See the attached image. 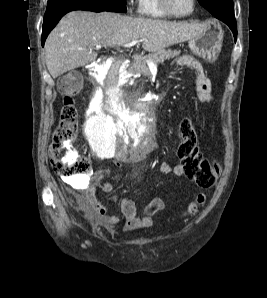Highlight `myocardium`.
<instances>
[{
  "mask_svg": "<svg viewBox=\"0 0 267 298\" xmlns=\"http://www.w3.org/2000/svg\"><path fill=\"white\" fill-rule=\"evenodd\" d=\"M158 3H159V6L160 8L166 13L168 14L169 16L171 17H175V18H185V17H189L191 16L194 11H195V8H196V0H192V7H191V10L186 13V14H178V13H175L170 5H169V2L168 0H158Z\"/></svg>",
  "mask_w": 267,
  "mask_h": 298,
  "instance_id": "f54148a6",
  "label": "myocardium"
}]
</instances>
